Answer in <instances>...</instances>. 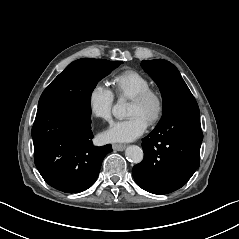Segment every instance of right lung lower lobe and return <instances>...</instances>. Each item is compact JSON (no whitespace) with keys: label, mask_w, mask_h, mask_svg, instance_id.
<instances>
[{"label":"right lung lower lobe","mask_w":239,"mask_h":239,"mask_svg":"<svg viewBox=\"0 0 239 239\" xmlns=\"http://www.w3.org/2000/svg\"><path fill=\"white\" fill-rule=\"evenodd\" d=\"M90 105L63 99L38 107L32 127L34 161L47 184L65 193L87 190L96 181L110 144L92 143Z\"/></svg>","instance_id":"98d812e1"}]
</instances>
